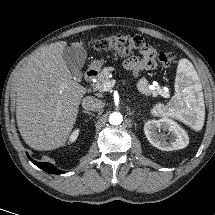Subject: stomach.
Listing matches in <instances>:
<instances>
[{
	"label": "stomach",
	"instance_id": "stomach-1",
	"mask_svg": "<svg viewBox=\"0 0 215 215\" xmlns=\"http://www.w3.org/2000/svg\"><path fill=\"white\" fill-rule=\"evenodd\" d=\"M101 65H102V63H101L100 61H98V60H94V61L92 62V64H91V66H92L93 68H99V67H101Z\"/></svg>",
	"mask_w": 215,
	"mask_h": 215
}]
</instances>
